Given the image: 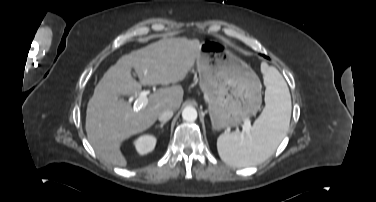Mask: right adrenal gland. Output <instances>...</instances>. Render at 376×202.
Masks as SVG:
<instances>
[{
	"label": "right adrenal gland",
	"mask_w": 376,
	"mask_h": 202,
	"mask_svg": "<svg viewBox=\"0 0 376 202\" xmlns=\"http://www.w3.org/2000/svg\"><path fill=\"white\" fill-rule=\"evenodd\" d=\"M165 123H166V122H162V123L159 125V127H160V128H163V126L165 125Z\"/></svg>",
	"instance_id": "obj_1"
}]
</instances>
